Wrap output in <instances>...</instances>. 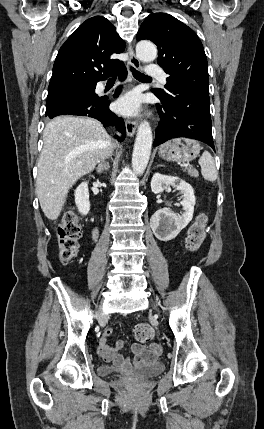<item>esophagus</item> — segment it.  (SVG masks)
Listing matches in <instances>:
<instances>
[{"label": "esophagus", "mask_w": 264, "mask_h": 429, "mask_svg": "<svg viewBox=\"0 0 264 429\" xmlns=\"http://www.w3.org/2000/svg\"><path fill=\"white\" fill-rule=\"evenodd\" d=\"M129 60L131 67L138 69L140 68V61L134 54L133 48L131 46L128 47ZM129 78L132 80V72L129 70ZM126 132L129 136H133L136 132L137 123L135 120L126 119L125 120Z\"/></svg>", "instance_id": "esophagus-1"}]
</instances>
